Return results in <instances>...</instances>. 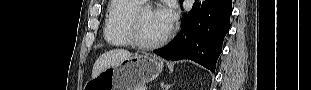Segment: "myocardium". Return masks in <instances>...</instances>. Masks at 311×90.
I'll list each match as a JSON object with an SVG mask.
<instances>
[{
    "mask_svg": "<svg viewBox=\"0 0 311 90\" xmlns=\"http://www.w3.org/2000/svg\"><path fill=\"white\" fill-rule=\"evenodd\" d=\"M146 8L147 6H141L132 13L129 20V32L133 45L142 49H154L163 45L169 39L171 36V30L167 31L164 36L156 41L148 42L144 40L141 35L140 22L142 13Z\"/></svg>",
    "mask_w": 311,
    "mask_h": 90,
    "instance_id": "1",
    "label": "myocardium"
}]
</instances>
